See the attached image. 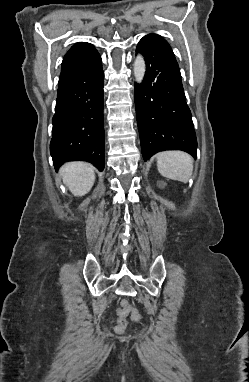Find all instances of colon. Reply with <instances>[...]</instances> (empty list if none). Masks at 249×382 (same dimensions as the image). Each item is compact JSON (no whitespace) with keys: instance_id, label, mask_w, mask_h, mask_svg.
Here are the masks:
<instances>
[{"instance_id":"colon-1","label":"colon","mask_w":249,"mask_h":382,"mask_svg":"<svg viewBox=\"0 0 249 382\" xmlns=\"http://www.w3.org/2000/svg\"><path fill=\"white\" fill-rule=\"evenodd\" d=\"M122 309L118 311V320L116 324V331L117 332H123L126 327H127V321H126V316L131 312L132 318L135 321L140 320V316L137 313V311L127 302V301H122L121 303Z\"/></svg>"}]
</instances>
